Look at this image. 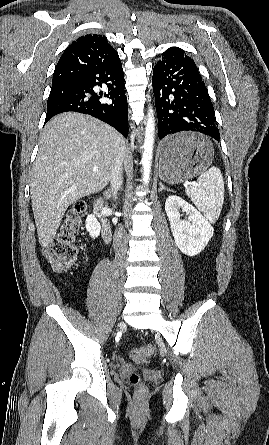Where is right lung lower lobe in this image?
I'll list each match as a JSON object with an SVG mask.
<instances>
[{"instance_id": "98d812e1", "label": "right lung lower lobe", "mask_w": 269, "mask_h": 445, "mask_svg": "<svg viewBox=\"0 0 269 445\" xmlns=\"http://www.w3.org/2000/svg\"><path fill=\"white\" fill-rule=\"evenodd\" d=\"M102 85L108 89L104 97L112 99L111 104L101 103L99 100L103 92L97 94L93 90L94 86ZM70 87L71 92L66 98L47 107L45 123L59 113L74 111L96 117L127 137V97L119 57L84 73Z\"/></svg>"}]
</instances>
